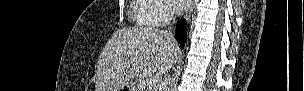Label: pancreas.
I'll return each instance as SVG.
<instances>
[{"mask_svg": "<svg viewBox=\"0 0 304 91\" xmlns=\"http://www.w3.org/2000/svg\"><path fill=\"white\" fill-rule=\"evenodd\" d=\"M145 80H140L138 85H137V90L138 91H153V89H147L145 85Z\"/></svg>", "mask_w": 304, "mask_h": 91, "instance_id": "obj_1", "label": "pancreas"}]
</instances>
